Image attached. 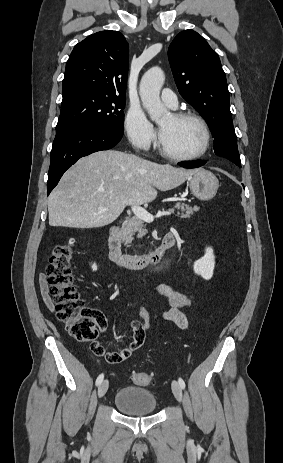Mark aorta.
Segmentation results:
<instances>
[{
  "instance_id": "762f6f07",
  "label": "aorta",
  "mask_w": 283,
  "mask_h": 463,
  "mask_svg": "<svg viewBox=\"0 0 283 463\" xmlns=\"http://www.w3.org/2000/svg\"><path fill=\"white\" fill-rule=\"evenodd\" d=\"M165 80L161 68H150L142 77L140 83V97L142 104L150 118L158 122L167 115V109L160 100V90Z\"/></svg>"
}]
</instances>
